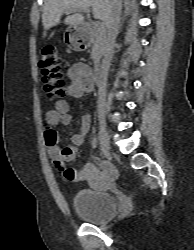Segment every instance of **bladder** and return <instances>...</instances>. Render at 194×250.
Returning a JSON list of instances; mask_svg holds the SVG:
<instances>
[{
	"mask_svg": "<svg viewBox=\"0 0 194 250\" xmlns=\"http://www.w3.org/2000/svg\"><path fill=\"white\" fill-rule=\"evenodd\" d=\"M72 206L79 217L92 224L110 220L117 211L115 199L110 193L94 189H84L75 193Z\"/></svg>",
	"mask_w": 194,
	"mask_h": 250,
	"instance_id": "obj_1",
	"label": "bladder"
}]
</instances>
